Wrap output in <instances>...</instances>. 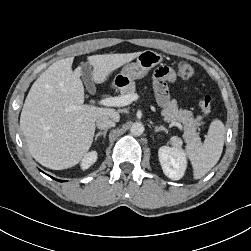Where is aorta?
<instances>
[{
    "label": "aorta",
    "mask_w": 251,
    "mask_h": 251,
    "mask_svg": "<svg viewBox=\"0 0 251 251\" xmlns=\"http://www.w3.org/2000/svg\"><path fill=\"white\" fill-rule=\"evenodd\" d=\"M130 132L133 136H140L144 132V125L141 122H135L130 128Z\"/></svg>",
    "instance_id": "obj_1"
}]
</instances>
